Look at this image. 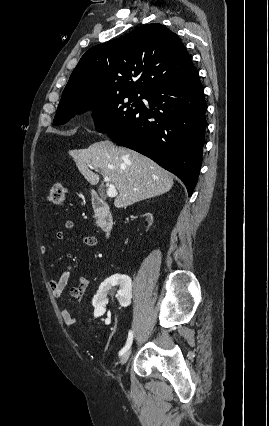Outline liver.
I'll return each instance as SVG.
<instances>
[{
	"label": "liver",
	"mask_w": 269,
	"mask_h": 426,
	"mask_svg": "<svg viewBox=\"0 0 269 426\" xmlns=\"http://www.w3.org/2000/svg\"><path fill=\"white\" fill-rule=\"evenodd\" d=\"M76 166L91 184L99 182V175L88 167L99 169L118 190L114 200L116 208H126L139 201L168 192L174 182L168 171L151 159L111 141H99L87 149L72 150Z\"/></svg>",
	"instance_id": "6515ba94"
}]
</instances>
